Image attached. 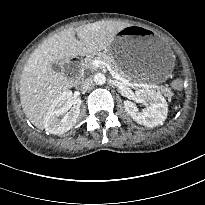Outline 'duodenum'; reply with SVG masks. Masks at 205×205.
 Returning a JSON list of instances; mask_svg holds the SVG:
<instances>
[{"label": "duodenum", "mask_w": 205, "mask_h": 205, "mask_svg": "<svg viewBox=\"0 0 205 205\" xmlns=\"http://www.w3.org/2000/svg\"><path fill=\"white\" fill-rule=\"evenodd\" d=\"M74 66L76 67L77 70V78L80 80L81 78V71H80V63L78 61L73 62Z\"/></svg>", "instance_id": "410a0bca"}]
</instances>
